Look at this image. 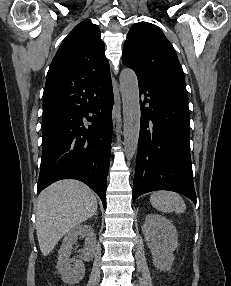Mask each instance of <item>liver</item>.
<instances>
[{
  "label": "liver",
  "mask_w": 231,
  "mask_h": 286,
  "mask_svg": "<svg viewBox=\"0 0 231 286\" xmlns=\"http://www.w3.org/2000/svg\"><path fill=\"white\" fill-rule=\"evenodd\" d=\"M97 211V199L84 183L60 180L38 196L35 205L36 233L41 253L50 254L59 240L91 218Z\"/></svg>",
  "instance_id": "liver-1"
}]
</instances>
